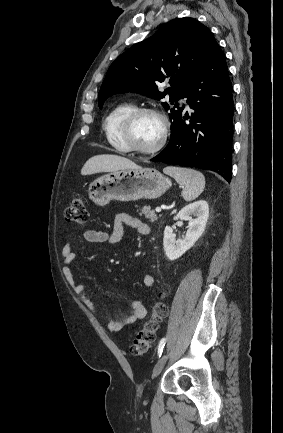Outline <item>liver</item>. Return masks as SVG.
I'll use <instances>...</instances> for the list:
<instances>
[{
  "mask_svg": "<svg viewBox=\"0 0 283 433\" xmlns=\"http://www.w3.org/2000/svg\"><path fill=\"white\" fill-rule=\"evenodd\" d=\"M141 166L135 164L130 158L118 154H96L86 160L81 168V174H94V172H117V170H140Z\"/></svg>",
  "mask_w": 283,
  "mask_h": 433,
  "instance_id": "1",
  "label": "liver"
}]
</instances>
